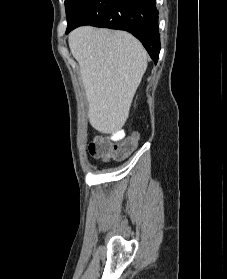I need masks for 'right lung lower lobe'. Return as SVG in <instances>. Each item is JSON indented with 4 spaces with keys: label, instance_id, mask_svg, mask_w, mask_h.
<instances>
[{
    "label": "right lung lower lobe",
    "instance_id": "obj_1",
    "mask_svg": "<svg viewBox=\"0 0 227 279\" xmlns=\"http://www.w3.org/2000/svg\"><path fill=\"white\" fill-rule=\"evenodd\" d=\"M81 25L125 30L138 38L156 63L160 52L155 0H86L66 33Z\"/></svg>",
    "mask_w": 227,
    "mask_h": 279
}]
</instances>
